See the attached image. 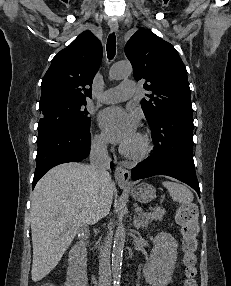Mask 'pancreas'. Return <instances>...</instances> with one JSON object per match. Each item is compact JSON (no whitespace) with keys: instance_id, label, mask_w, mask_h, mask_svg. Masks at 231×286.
<instances>
[{"instance_id":"pancreas-1","label":"pancreas","mask_w":231,"mask_h":286,"mask_svg":"<svg viewBox=\"0 0 231 286\" xmlns=\"http://www.w3.org/2000/svg\"><path fill=\"white\" fill-rule=\"evenodd\" d=\"M166 213L165 209L156 208L152 212H141L140 215L142 219L148 223L149 221H161L163 219V215Z\"/></svg>"}]
</instances>
